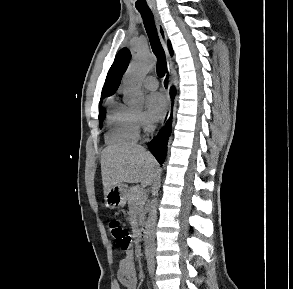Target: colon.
Here are the masks:
<instances>
[{
    "mask_svg": "<svg viewBox=\"0 0 293 289\" xmlns=\"http://www.w3.org/2000/svg\"><path fill=\"white\" fill-rule=\"evenodd\" d=\"M109 230L122 251H128L131 245V234L128 229L118 220L109 222Z\"/></svg>",
    "mask_w": 293,
    "mask_h": 289,
    "instance_id": "5ec220e1",
    "label": "colon"
}]
</instances>
